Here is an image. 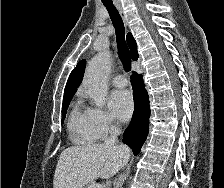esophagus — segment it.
Wrapping results in <instances>:
<instances>
[{"mask_svg": "<svg viewBox=\"0 0 224 188\" xmlns=\"http://www.w3.org/2000/svg\"><path fill=\"white\" fill-rule=\"evenodd\" d=\"M116 7H117L120 15L122 16L125 25H127V20H126V17H125V14H124V11H123L121 5L120 4H116Z\"/></svg>", "mask_w": 224, "mask_h": 188, "instance_id": "esophagus-1", "label": "esophagus"}]
</instances>
